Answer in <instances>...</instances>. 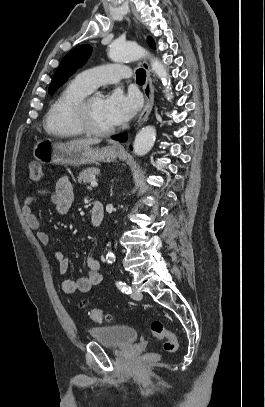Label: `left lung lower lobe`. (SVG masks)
Segmentation results:
<instances>
[{
	"label": "left lung lower lobe",
	"instance_id": "obj_1",
	"mask_svg": "<svg viewBox=\"0 0 265 407\" xmlns=\"http://www.w3.org/2000/svg\"><path fill=\"white\" fill-rule=\"evenodd\" d=\"M126 138H127L126 134H121V135L113 137V139L118 140V141H125Z\"/></svg>",
	"mask_w": 265,
	"mask_h": 407
}]
</instances>
